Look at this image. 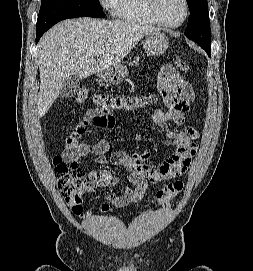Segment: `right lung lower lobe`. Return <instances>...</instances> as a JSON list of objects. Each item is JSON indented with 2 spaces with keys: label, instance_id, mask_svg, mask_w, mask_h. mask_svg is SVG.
Wrapping results in <instances>:
<instances>
[{
  "label": "right lung lower lobe",
  "instance_id": "right-lung-lower-lobe-1",
  "mask_svg": "<svg viewBox=\"0 0 253 271\" xmlns=\"http://www.w3.org/2000/svg\"><path fill=\"white\" fill-rule=\"evenodd\" d=\"M46 31H42V32H37L36 33V42L39 41L40 37L45 33Z\"/></svg>",
  "mask_w": 253,
  "mask_h": 271
}]
</instances>
